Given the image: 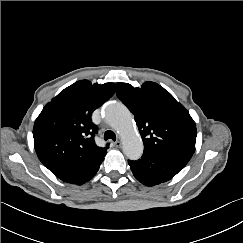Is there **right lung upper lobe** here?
<instances>
[{"label":"right lung upper lobe","instance_id":"obj_1","mask_svg":"<svg viewBox=\"0 0 243 243\" xmlns=\"http://www.w3.org/2000/svg\"><path fill=\"white\" fill-rule=\"evenodd\" d=\"M114 92V83L99 85L80 80L45 105L34 124V147L53 174L106 155L108 146L95 144L97 126L91 116Z\"/></svg>","mask_w":243,"mask_h":243}]
</instances>
